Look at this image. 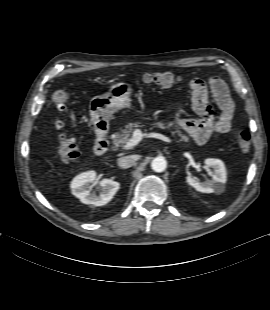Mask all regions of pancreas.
I'll use <instances>...</instances> for the list:
<instances>
[{
    "label": "pancreas",
    "instance_id": "pancreas-1",
    "mask_svg": "<svg viewBox=\"0 0 270 310\" xmlns=\"http://www.w3.org/2000/svg\"><path fill=\"white\" fill-rule=\"evenodd\" d=\"M154 125L157 128L165 129V128H170L173 125V123L172 122H168V123L155 122ZM138 127H140L139 122L127 124L125 128L121 130V132H117L115 134L114 139H113L114 146L116 148L120 146H124L130 140L131 132ZM178 135L180 136L181 141H185V142L189 141V138L186 135L181 134V131H178Z\"/></svg>",
    "mask_w": 270,
    "mask_h": 310
}]
</instances>
